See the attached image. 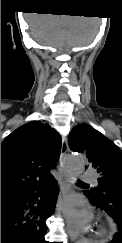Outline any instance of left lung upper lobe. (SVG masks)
Wrapping results in <instances>:
<instances>
[{"mask_svg":"<svg viewBox=\"0 0 122 243\" xmlns=\"http://www.w3.org/2000/svg\"><path fill=\"white\" fill-rule=\"evenodd\" d=\"M69 147L72 151L83 153L92 166L100 174L98 187L92 188L90 194L105 199L111 208V217L122 221V201H113L105 184L110 181L122 179V151L111 140L86 124H79L73 128L69 135Z\"/></svg>","mask_w":122,"mask_h":243,"instance_id":"left-lung-upper-lobe-1","label":"left lung upper lobe"}]
</instances>
